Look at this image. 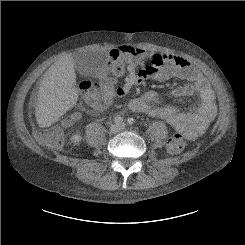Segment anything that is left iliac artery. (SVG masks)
<instances>
[{
	"label": "left iliac artery",
	"mask_w": 245,
	"mask_h": 245,
	"mask_svg": "<svg viewBox=\"0 0 245 245\" xmlns=\"http://www.w3.org/2000/svg\"><path fill=\"white\" fill-rule=\"evenodd\" d=\"M127 123H128L129 125H133V124L135 123V119H134L133 117H129V118L127 119Z\"/></svg>",
	"instance_id": "left-iliac-artery-1"
}]
</instances>
